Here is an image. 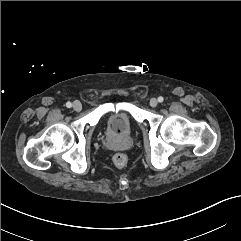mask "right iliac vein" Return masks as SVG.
Here are the masks:
<instances>
[{
    "instance_id": "obj_1",
    "label": "right iliac vein",
    "mask_w": 241,
    "mask_h": 241,
    "mask_svg": "<svg viewBox=\"0 0 241 241\" xmlns=\"http://www.w3.org/2000/svg\"><path fill=\"white\" fill-rule=\"evenodd\" d=\"M72 107L75 111L79 112L82 109V104L80 101H74Z\"/></svg>"
}]
</instances>
